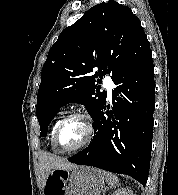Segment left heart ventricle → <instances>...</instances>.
Returning a JSON list of instances; mask_svg holds the SVG:
<instances>
[{
    "instance_id": "obj_1",
    "label": "left heart ventricle",
    "mask_w": 178,
    "mask_h": 195,
    "mask_svg": "<svg viewBox=\"0 0 178 195\" xmlns=\"http://www.w3.org/2000/svg\"><path fill=\"white\" fill-rule=\"evenodd\" d=\"M86 135V127L83 121L74 119L67 122L60 130L58 145L61 148L70 149L79 145Z\"/></svg>"
}]
</instances>
